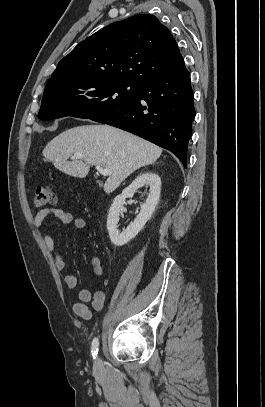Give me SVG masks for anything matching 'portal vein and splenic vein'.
Returning <instances> with one entry per match:
<instances>
[{"label": "portal vein and splenic vein", "instance_id": "obj_1", "mask_svg": "<svg viewBox=\"0 0 265 407\" xmlns=\"http://www.w3.org/2000/svg\"><path fill=\"white\" fill-rule=\"evenodd\" d=\"M80 158H82V156H81V155H78V154H75V155H73V156L71 157V159H80ZM96 170H97L100 174H102V175H104V176H109V175H111V171H110L109 169L103 168V167L100 166V165H97V166H96Z\"/></svg>", "mask_w": 265, "mask_h": 407}]
</instances>
